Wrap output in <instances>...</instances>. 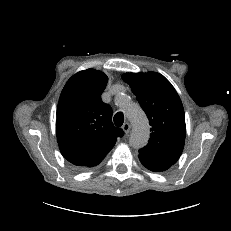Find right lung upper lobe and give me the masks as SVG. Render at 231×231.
I'll list each match as a JSON object with an SVG mask.
<instances>
[{
	"label": "right lung upper lobe",
	"mask_w": 231,
	"mask_h": 231,
	"mask_svg": "<svg viewBox=\"0 0 231 231\" xmlns=\"http://www.w3.org/2000/svg\"><path fill=\"white\" fill-rule=\"evenodd\" d=\"M108 77L87 69L64 86L57 108L56 134L65 159L81 168L98 165L124 132L114 127L112 109L101 100Z\"/></svg>",
	"instance_id": "obj_1"
}]
</instances>
